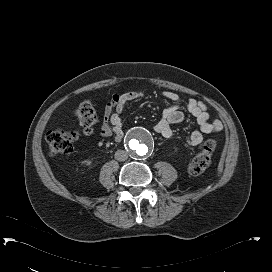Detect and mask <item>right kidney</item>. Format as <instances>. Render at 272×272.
I'll list each match as a JSON object with an SVG mask.
<instances>
[{"label":"right kidney","instance_id":"1","mask_svg":"<svg viewBox=\"0 0 272 272\" xmlns=\"http://www.w3.org/2000/svg\"><path fill=\"white\" fill-rule=\"evenodd\" d=\"M85 164H86L87 166H89V165L92 164V161H91V160H87V161L85 162Z\"/></svg>","mask_w":272,"mask_h":272}]
</instances>
